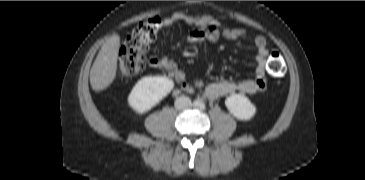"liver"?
Masks as SVG:
<instances>
[{
  "label": "liver",
  "instance_id": "6515ba94",
  "mask_svg": "<svg viewBox=\"0 0 365 180\" xmlns=\"http://www.w3.org/2000/svg\"><path fill=\"white\" fill-rule=\"evenodd\" d=\"M120 36L112 35L101 47L90 71V84L99 92L111 85L117 73Z\"/></svg>",
  "mask_w": 365,
  "mask_h": 180
}]
</instances>
